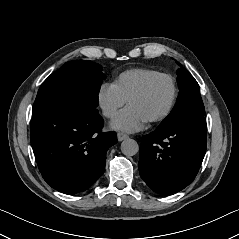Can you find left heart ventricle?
<instances>
[{
    "label": "left heart ventricle",
    "instance_id": "b2bd125f",
    "mask_svg": "<svg viewBox=\"0 0 239 239\" xmlns=\"http://www.w3.org/2000/svg\"><path fill=\"white\" fill-rule=\"evenodd\" d=\"M170 96L171 86L169 81L159 79L152 83L142 96L133 100L129 106L133 107L148 120L166 107Z\"/></svg>",
    "mask_w": 239,
    "mask_h": 239
}]
</instances>
